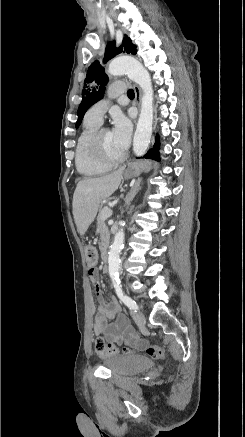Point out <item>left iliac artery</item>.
Instances as JSON below:
<instances>
[{
    "mask_svg": "<svg viewBox=\"0 0 245 437\" xmlns=\"http://www.w3.org/2000/svg\"><path fill=\"white\" fill-rule=\"evenodd\" d=\"M114 288L116 291L117 296L120 298V300L131 310H137L138 306L134 300H132L129 296L124 294L122 290V285L119 281L114 283Z\"/></svg>",
    "mask_w": 245,
    "mask_h": 437,
    "instance_id": "left-iliac-artery-1",
    "label": "left iliac artery"
}]
</instances>
